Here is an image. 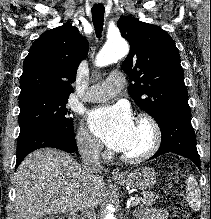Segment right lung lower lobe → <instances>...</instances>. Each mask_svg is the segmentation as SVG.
Wrapping results in <instances>:
<instances>
[{
	"label": "right lung lower lobe",
	"instance_id": "98d812e1",
	"mask_svg": "<svg viewBox=\"0 0 211 219\" xmlns=\"http://www.w3.org/2000/svg\"><path fill=\"white\" fill-rule=\"evenodd\" d=\"M44 147L57 148L68 153H74L78 149L74 131L66 132L51 126L36 127L19 134L15 168L30 152Z\"/></svg>",
	"mask_w": 211,
	"mask_h": 219
}]
</instances>
